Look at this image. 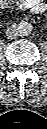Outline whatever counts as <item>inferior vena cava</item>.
Instances as JSON below:
<instances>
[{"label":"inferior vena cava","mask_w":47,"mask_h":129,"mask_svg":"<svg viewBox=\"0 0 47 129\" xmlns=\"http://www.w3.org/2000/svg\"><path fill=\"white\" fill-rule=\"evenodd\" d=\"M17 33H18L17 29L14 28V27H11L7 31V36H8L9 39H14V38H16Z\"/></svg>","instance_id":"obj_1"}]
</instances>
